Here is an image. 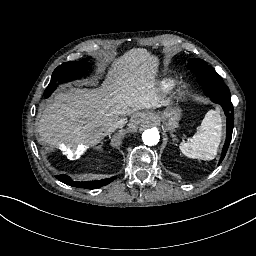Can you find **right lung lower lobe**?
I'll return each instance as SVG.
<instances>
[{
	"instance_id": "98d812e1",
	"label": "right lung lower lobe",
	"mask_w": 256,
	"mask_h": 256,
	"mask_svg": "<svg viewBox=\"0 0 256 256\" xmlns=\"http://www.w3.org/2000/svg\"><path fill=\"white\" fill-rule=\"evenodd\" d=\"M56 178L67 185H70L73 187L85 188V189H95V188L104 186L115 179V177H111L103 180L79 182V181H73L69 176L65 174L56 176Z\"/></svg>"
}]
</instances>
